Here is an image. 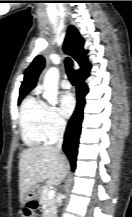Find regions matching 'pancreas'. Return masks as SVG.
I'll return each mask as SVG.
<instances>
[{
  "mask_svg": "<svg viewBox=\"0 0 132 217\" xmlns=\"http://www.w3.org/2000/svg\"><path fill=\"white\" fill-rule=\"evenodd\" d=\"M50 191V186L45 185L42 187L39 203L42 205L43 217H55L56 213V198L55 196L49 197L48 193Z\"/></svg>",
  "mask_w": 132,
  "mask_h": 217,
  "instance_id": "obj_1",
  "label": "pancreas"
}]
</instances>
